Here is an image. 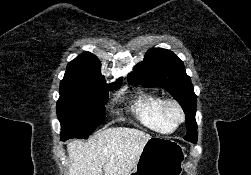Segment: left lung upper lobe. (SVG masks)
Masks as SVG:
<instances>
[{"label":"left lung upper lobe","mask_w":251,"mask_h":175,"mask_svg":"<svg viewBox=\"0 0 251 175\" xmlns=\"http://www.w3.org/2000/svg\"><path fill=\"white\" fill-rule=\"evenodd\" d=\"M128 75L130 84L165 88L181 105L186 114L187 134L184 139L196 143L195 121L197 96L183 62L170 50L153 48Z\"/></svg>","instance_id":"1"}]
</instances>
